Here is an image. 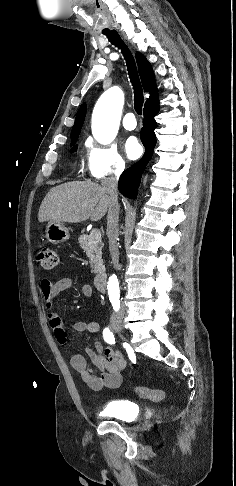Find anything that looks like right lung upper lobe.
<instances>
[{"mask_svg": "<svg viewBox=\"0 0 236 486\" xmlns=\"http://www.w3.org/2000/svg\"><path fill=\"white\" fill-rule=\"evenodd\" d=\"M136 61L138 64L139 74L141 77L142 85L145 91L149 92V99L146 101H152L158 97L157 89L155 86V79L151 64L147 61L144 55L136 53ZM86 115V104L84 103L77 112L74 126L71 132V140L78 138L80 130L82 128Z\"/></svg>", "mask_w": 236, "mask_h": 486, "instance_id": "1", "label": "right lung upper lobe"}]
</instances>
